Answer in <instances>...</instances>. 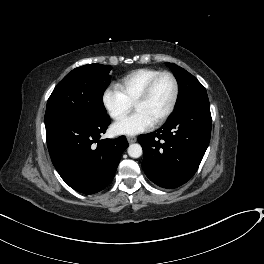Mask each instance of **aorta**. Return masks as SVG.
Masks as SVG:
<instances>
[{
  "label": "aorta",
  "instance_id": "1",
  "mask_svg": "<svg viewBox=\"0 0 264 264\" xmlns=\"http://www.w3.org/2000/svg\"><path fill=\"white\" fill-rule=\"evenodd\" d=\"M128 155L132 158H139L142 155V147L139 144H131L128 147Z\"/></svg>",
  "mask_w": 264,
  "mask_h": 264
}]
</instances>
